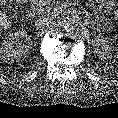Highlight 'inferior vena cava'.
Here are the masks:
<instances>
[{"label": "inferior vena cava", "mask_w": 118, "mask_h": 118, "mask_svg": "<svg viewBox=\"0 0 118 118\" xmlns=\"http://www.w3.org/2000/svg\"><path fill=\"white\" fill-rule=\"evenodd\" d=\"M52 22V19L50 16L42 15L35 21V27L37 29L44 28L46 25Z\"/></svg>", "instance_id": "1"}]
</instances>
